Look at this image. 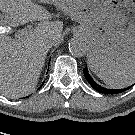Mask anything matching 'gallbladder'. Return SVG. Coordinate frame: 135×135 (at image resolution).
I'll return each instance as SVG.
<instances>
[{"instance_id": "gallbladder-1", "label": "gallbladder", "mask_w": 135, "mask_h": 135, "mask_svg": "<svg viewBox=\"0 0 135 135\" xmlns=\"http://www.w3.org/2000/svg\"><path fill=\"white\" fill-rule=\"evenodd\" d=\"M2 20H4V17H3V15L0 13V24H3V23H2Z\"/></svg>"}]
</instances>
